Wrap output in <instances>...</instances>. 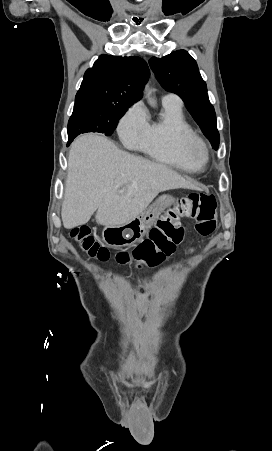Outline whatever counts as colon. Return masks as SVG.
Returning a JSON list of instances; mask_svg holds the SVG:
<instances>
[{
    "mask_svg": "<svg viewBox=\"0 0 272 451\" xmlns=\"http://www.w3.org/2000/svg\"><path fill=\"white\" fill-rule=\"evenodd\" d=\"M216 209V198L209 193L193 192L178 198L175 208L167 210L157 219V227L150 231L148 239L140 242L130 253H114L113 261L137 267L160 265L174 252L177 242L182 240L183 232L175 225V221L189 217L195 221L198 234L209 235L217 226ZM69 235L88 255L96 256L97 262H107L110 250L104 249L93 238L88 226H76L70 230Z\"/></svg>",
    "mask_w": 272,
    "mask_h": 451,
    "instance_id": "obj_1",
    "label": "colon"
}]
</instances>
